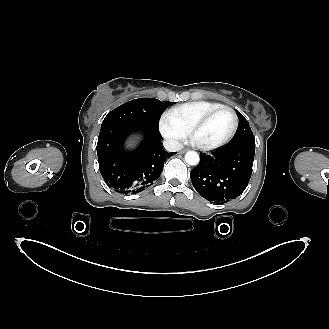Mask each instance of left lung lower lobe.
Masks as SVG:
<instances>
[{"mask_svg":"<svg viewBox=\"0 0 329 329\" xmlns=\"http://www.w3.org/2000/svg\"><path fill=\"white\" fill-rule=\"evenodd\" d=\"M255 153L254 142H238L211 154L201 153L200 163L190 172L196 191L219 203L237 198L246 189Z\"/></svg>","mask_w":329,"mask_h":329,"instance_id":"obj_1","label":"left lung lower lobe"}]
</instances>
